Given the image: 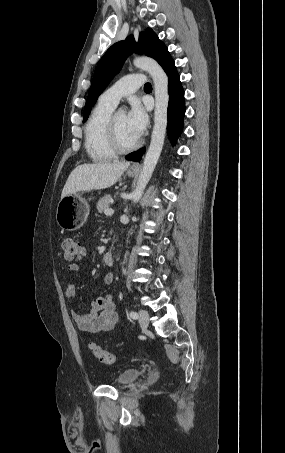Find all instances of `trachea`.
I'll list each match as a JSON object with an SVG mask.
<instances>
[{"label": "trachea", "instance_id": "3493384b", "mask_svg": "<svg viewBox=\"0 0 285 453\" xmlns=\"http://www.w3.org/2000/svg\"><path fill=\"white\" fill-rule=\"evenodd\" d=\"M144 88H151V84H150V83H146V84L144 85Z\"/></svg>", "mask_w": 285, "mask_h": 453}]
</instances>
